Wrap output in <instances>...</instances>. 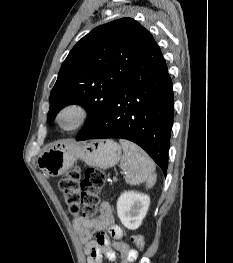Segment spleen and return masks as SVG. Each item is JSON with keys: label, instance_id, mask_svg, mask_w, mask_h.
I'll return each instance as SVG.
<instances>
[{"label": "spleen", "instance_id": "obj_1", "mask_svg": "<svg viewBox=\"0 0 233 263\" xmlns=\"http://www.w3.org/2000/svg\"><path fill=\"white\" fill-rule=\"evenodd\" d=\"M119 142L124 151L120 167L125 173L126 183L139 185L146 182V187L151 188L156 182L154 162L136 144L122 139Z\"/></svg>", "mask_w": 233, "mask_h": 263}]
</instances>
